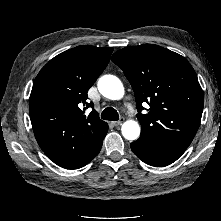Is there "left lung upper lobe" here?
I'll return each instance as SVG.
<instances>
[{"mask_svg":"<svg viewBox=\"0 0 221 221\" xmlns=\"http://www.w3.org/2000/svg\"><path fill=\"white\" fill-rule=\"evenodd\" d=\"M129 80L138 114L140 138L187 148L199 128L203 112V91L190 63L163 47L145 44L126 47L113 54Z\"/></svg>","mask_w":221,"mask_h":221,"instance_id":"5c2ea615","label":"left lung upper lobe"}]
</instances>
